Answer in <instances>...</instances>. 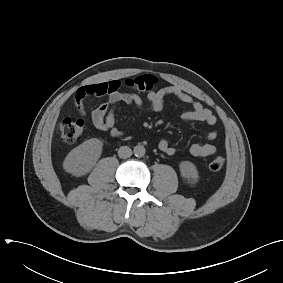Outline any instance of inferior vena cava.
I'll return each mask as SVG.
<instances>
[{
  "label": "inferior vena cava",
  "instance_id": "obj_1",
  "mask_svg": "<svg viewBox=\"0 0 283 283\" xmlns=\"http://www.w3.org/2000/svg\"><path fill=\"white\" fill-rule=\"evenodd\" d=\"M132 155V150L128 146H122L118 150V156L120 158L126 159Z\"/></svg>",
  "mask_w": 283,
  "mask_h": 283
}]
</instances>
